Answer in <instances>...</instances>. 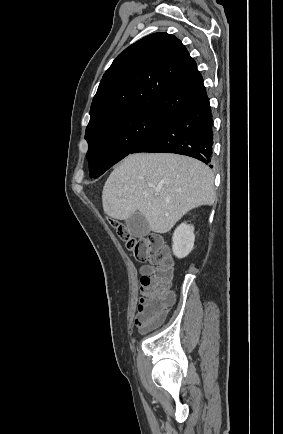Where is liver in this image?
<instances>
[{"mask_svg":"<svg viewBox=\"0 0 283 434\" xmlns=\"http://www.w3.org/2000/svg\"><path fill=\"white\" fill-rule=\"evenodd\" d=\"M215 199L211 170L194 158L171 153L127 156L112 171L102 192L109 217L127 220L139 212L156 233L170 231L187 212L211 206Z\"/></svg>","mask_w":283,"mask_h":434,"instance_id":"1","label":"liver"}]
</instances>
